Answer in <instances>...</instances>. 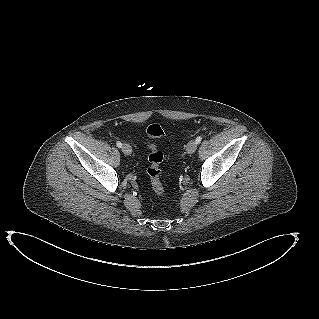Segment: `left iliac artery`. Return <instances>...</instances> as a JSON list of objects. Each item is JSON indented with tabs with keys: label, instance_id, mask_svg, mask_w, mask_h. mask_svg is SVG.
Listing matches in <instances>:
<instances>
[{
	"label": "left iliac artery",
	"instance_id": "44dca946",
	"mask_svg": "<svg viewBox=\"0 0 319 319\" xmlns=\"http://www.w3.org/2000/svg\"><path fill=\"white\" fill-rule=\"evenodd\" d=\"M201 140H202V137L198 136L195 141H196L197 144H199L201 142Z\"/></svg>",
	"mask_w": 319,
	"mask_h": 319
}]
</instances>
